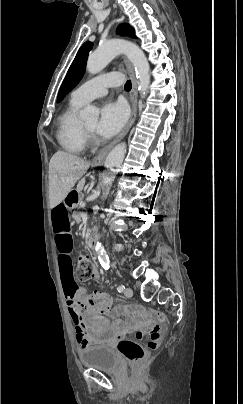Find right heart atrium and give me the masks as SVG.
<instances>
[{
    "mask_svg": "<svg viewBox=\"0 0 243 404\" xmlns=\"http://www.w3.org/2000/svg\"><path fill=\"white\" fill-rule=\"evenodd\" d=\"M90 140H91L92 142H95V138H94V137H90Z\"/></svg>",
    "mask_w": 243,
    "mask_h": 404,
    "instance_id": "right-heart-atrium-1",
    "label": "right heart atrium"
}]
</instances>
